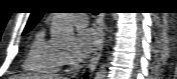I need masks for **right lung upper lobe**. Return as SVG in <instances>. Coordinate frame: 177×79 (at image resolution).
I'll list each match as a JSON object with an SVG mask.
<instances>
[{"instance_id":"right-lung-upper-lobe-1","label":"right lung upper lobe","mask_w":177,"mask_h":79,"mask_svg":"<svg viewBox=\"0 0 177 79\" xmlns=\"http://www.w3.org/2000/svg\"><path fill=\"white\" fill-rule=\"evenodd\" d=\"M43 14H44L43 11H39V12L35 11V12L31 13L26 27H34L36 25V23H38V21L41 19Z\"/></svg>"}]
</instances>
